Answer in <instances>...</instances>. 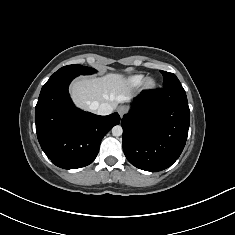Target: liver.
I'll return each mask as SVG.
<instances>
[{"mask_svg":"<svg viewBox=\"0 0 235 235\" xmlns=\"http://www.w3.org/2000/svg\"><path fill=\"white\" fill-rule=\"evenodd\" d=\"M128 81L121 74H107L99 78H80L70 86L71 97L76 106L91 110L93 102L108 103L116 109L119 103L130 98ZM93 111V110H92Z\"/></svg>","mask_w":235,"mask_h":235,"instance_id":"1","label":"liver"}]
</instances>
